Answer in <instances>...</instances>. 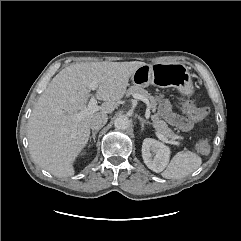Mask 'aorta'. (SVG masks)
<instances>
[{
	"label": "aorta",
	"instance_id": "obj_1",
	"mask_svg": "<svg viewBox=\"0 0 241 241\" xmlns=\"http://www.w3.org/2000/svg\"><path fill=\"white\" fill-rule=\"evenodd\" d=\"M114 126L118 130H125L130 126V121H129L127 116L120 115V116L115 118Z\"/></svg>",
	"mask_w": 241,
	"mask_h": 241
}]
</instances>
